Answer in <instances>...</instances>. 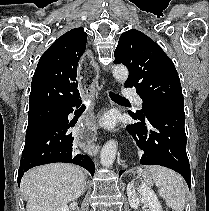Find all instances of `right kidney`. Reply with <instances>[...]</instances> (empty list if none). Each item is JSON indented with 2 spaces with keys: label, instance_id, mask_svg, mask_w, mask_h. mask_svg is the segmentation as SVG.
<instances>
[{
  "label": "right kidney",
  "instance_id": "obj_1",
  "mask_svg": "<svg viewBox=\"0 0 209 211\" xmlns=\"http://www.w3.org/2000/svg\"><path fill=\"white\" fill-rule=\"evenodd\" d=\"M55 211H69V208L67 205H62L58 207Z\"/></svg>",
  "mask_w": 209,
  "mask_h": 211
}]
</instances>
